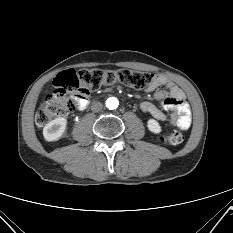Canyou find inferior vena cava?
I'll use <instances>...</instances> for the list:
<instances>
[{
	"label": "inferior vena cava",
	"mask_w": 233,
	"mask_h": 233,
	"mask_svg": "<svg viewBox=\"0 0 233 233\" xmlns=\"http://www.w3.org/2000/svg\"><path fill=\"white\" fill-rule=\"evenodd\" d=\"M102 108H103V105H102V103L99 102V101H94V102L92 103V105H91V110H92L93 112H99V111L102 110Z\"/></svg>",
	"instance_id": "obj_1"
}]
</instances>
